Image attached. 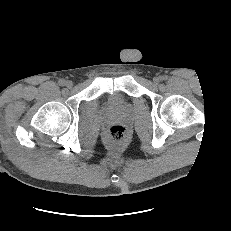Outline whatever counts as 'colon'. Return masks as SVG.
<instances>
[{"label":"colon","mask_w":231,"mask_h":231,"mask_svg":"<svg viewBox=\"0 0 231 231\" xmlns=\"http://www.w3.org/2000/svg\"><path fill=\"white\" fill-rule=\"evenodd\" d=\"M127 129L123 125H113L108 129V137L113 143H121L125 140Z\"/></svg>","instance_id":"obj_1"}]
</instances>
